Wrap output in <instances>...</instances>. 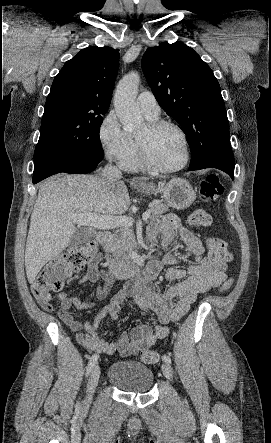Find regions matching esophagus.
<instances>
[{"instance_id":"esophagus-1","label":"esophagus","mask_w":271,"mask_h":443,"mask_svg":"<svg viewBox=\"0 0 271 443\" xmlns=\"http://www.w3.org/2000/svg\"><path fill=\"white\" fill-rule=\"evenodd\" d=\"M132 182H134V183H141L142 180H140V179H138V178H133V179H132Z\"/></svg>"}]
</instances>
